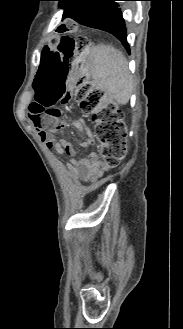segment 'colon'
I'll return each instance as SVG.
<instances>
[{"instance_id": "1", "label": "colon", "mask_w": 183, "mask_h": 329, "mask_svg": "<svg viewBox=\"0 0 183 329\" xmlns=\"http://www.w3.org/2000/svg\"><path fill=\"white\" fill-rule=\"evenodd\" d=\"M58 25L55 37L37 56L40 66L37 67V81L32 86L36 94L30 105L29 113L43 117L48 123L42 127L44 132H56L58 127L52 120L59 115L62 103L72 97L66 88L65 81L70 79L68 73L74 67L73 58L87 44H96V37H71L77 32V25ZM102 91H92L89 83L79 80L74 89V97L80 103L81 110L92 116L95 124V136L100 145L102 170L117 166L127 155V132L121 111L109 104L100 107Z\"/></svg>"}]
</instances>
